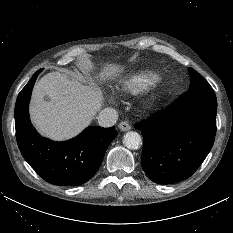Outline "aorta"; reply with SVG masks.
Instances as JSON below:
<instances>
[{"label":"aorta","mask_w":233,"mask_h":233,"mask_svg":"<svg viewBox=\"0 0 233 233\" xmlns=\"http://www.w3.org/2000/svg\"><path fill=\"white\" fill-rule=\"evenodd\" d=\"M142 144V138L139 133L129 131L124 135V145L129 149H137Z\"/></svg>","instance_id":"aorta-1"}]
</instances>
